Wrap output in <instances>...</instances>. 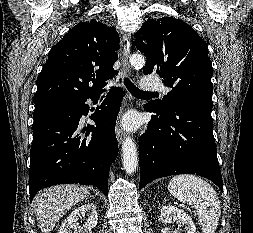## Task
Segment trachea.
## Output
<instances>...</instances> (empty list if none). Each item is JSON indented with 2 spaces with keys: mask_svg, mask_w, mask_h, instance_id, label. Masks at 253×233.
<instances>
[{
  "mask_svg": "<svg viewBox=\"0 0 253 233\" xmlns=\"http://www.w3.org/2000/svg\"><path fill=\"white\" fill-rule=\"evenodd\" d=\"M124 84L126 88L129 90V92L134 96H143L153 93V92H145L138 89L128 78H125Z\"/></svg>",
  "mask_w": 253,
  "mask_h": 233,
  "instance_id": "1",
  "label": "trachea"
}]
</instances>
